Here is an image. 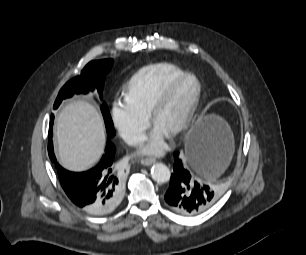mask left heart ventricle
Segmentation results:
<instances>
[{
    "mask_svg": "<svg viewBox=\"0 0 306 255\" xmlns=\"http://www.w3.org/2000/svg\"><path fill=\"white\" fill-rule=\"evenodd\" d=\"M196 90L193 80L184 83L160 111L155 125L169 132L182 118Z\"/></svg>",
    "mask_w": 306,
    "mask_h": 255,
    "instance_id": "b2bd125f",
    "label": "left heart ventricle"
}]
</instances>
